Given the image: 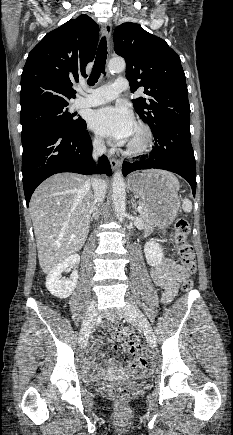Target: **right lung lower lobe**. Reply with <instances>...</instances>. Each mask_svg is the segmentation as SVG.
Returning <instances> with one entry per match:
<instances>
[{"mask_svg": "<svg viewBox=\"0 0 233 435\" xmlns=\"http://www.w3.org/2000/svg\"><path fill=\"white\" fill-rule=\"evenodd\" d=\"M22 146L23 187L27 205L36 187L53 174L112 175L110 163L104 155L99 159V167H95L86 122L77 129L46 126L34 130L22 135Z\"/></svg>", "mask_w": 233, "mask_h": 435, "instance_id": "right-lung-lower-lobe-1", "label": "right lung lower lobe"}]
</instances>
